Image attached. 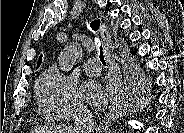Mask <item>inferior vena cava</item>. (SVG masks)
Wrapping results in <instances>:
<instances>
[{
    "instance_id": "inferior-vena-cava-1",
    "label": "inferior vena cava",
    "mask_w": 184,
    "mask_h": 133,
    "mask_svg": "<svg viewBox=\"0 0 184 133\" xmlns=\"http://www.w3.org/2000/svg\"><path fill=\"white\" fill-rule=\"evenodd\" d=\"M93 120L90 111L79 105L75 111V133H92Z\"/></svg>"
}]
</instances>
